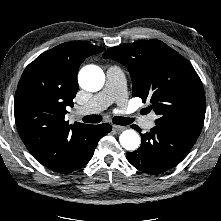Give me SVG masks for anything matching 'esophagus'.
I'll return each mask as SVG.
<instances>
[{"label": "esophagus", "mask_w": 221, "mask_h": 221, "mask_svg": "<svg viewBox=\"0 0 221 221\" xmlns=\"http://www.w3.org/2000/svg\"><path fill=\"white\" fill-rule=\"evenodd\" d=\"M113 129L116 131H123L126 129L125 126L113 125Z\"/></svg>", "instance_id": "34e87169"}]
</instances>
